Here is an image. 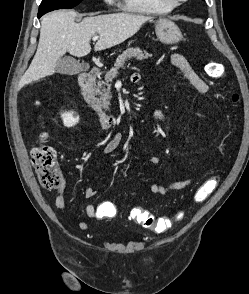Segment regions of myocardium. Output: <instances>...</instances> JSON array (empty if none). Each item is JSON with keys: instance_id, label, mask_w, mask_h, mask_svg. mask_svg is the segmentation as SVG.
Returning <instances> with one entry per match:
<instances>
[{"instance_id": "f54148a6", "label": "myocardium", "mask_w": 249, "mask_h": 294, "mask_svg": "<svg viewBox=\"0 0 249 294\" xmlns=\"http://www.w3.org/2000/svg\"><path fill=\"white\" fill-rule=\"evenodd\" d=\"M166 1L169 2L170 4H172L173 6H178L187 0H166Z\"/></svg>"}]
</instances>
